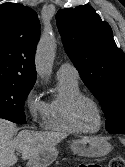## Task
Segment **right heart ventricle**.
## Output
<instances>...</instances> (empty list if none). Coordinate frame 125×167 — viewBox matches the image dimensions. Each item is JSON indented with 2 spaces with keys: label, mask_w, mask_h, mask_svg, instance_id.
<instances>
[{
  "label": "right heart ventricle",
  "mask_w": 125,
  "mask_h": 167,
  "mask_svg": "<svg viewBox=\"0 0 125 167\" xmlns=\"http://www.w3.org/2000/svg\"><path fill=\"white\" fill-rule=\"evenodd\" d=\"M58 95L46 104L42 126L46 130L76 134L78 129L70 119L71 101L82 94L78 80L58 79Z\"/></svg>",
  "instance_id": "e07e8e85"
}]
</instances>
